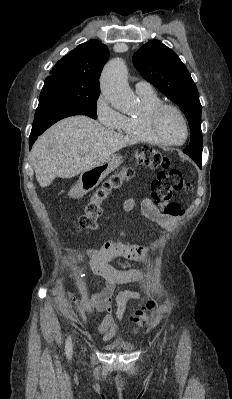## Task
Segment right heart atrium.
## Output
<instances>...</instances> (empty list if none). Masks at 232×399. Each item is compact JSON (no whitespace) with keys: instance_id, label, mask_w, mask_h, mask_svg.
<instances>
[{"instance_id":"right-heart-atrium-1","label":"right heart atrium","mask_w":232,"mask_h":399,"mask_svg":"<svg viewBox=\"0 0 232 399\" xmlns=\"http://www.w3.org/2000/svg\"><path fill=\"white\" fill-rule=\"evenodd\" d=\"M95 115L96 119L100 120V125H107L108 129H115L122 117V115L118 111L114 110L109 103H105V96H101L98 104L95 106Z\"/></svg>"}]
</instances>
